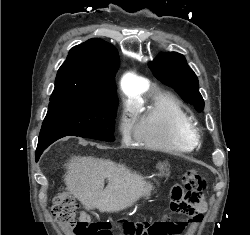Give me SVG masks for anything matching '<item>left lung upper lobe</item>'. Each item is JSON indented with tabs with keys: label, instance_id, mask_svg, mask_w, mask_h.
I'll use <instances>...</instances> for the list:
<instances>
[{
	"label": "left lung upper lobe",
	"instance_id": "5c2ea615",
	"mask_svg": "<svg viewBox=\"0 0 250 235\" xmlns=\"http://www.w3.org/2000/svg\"><path fill=\"white\" fill-rule=\"evenodd\" d=\"M149 68L163 84L174 88L185 102L197 110L204 108L198 79L183 55L176 52L160 54L149 63Z\"/></svg>",
	"mask_w": 250,
	"mask_h": 235
}]
</instances>
